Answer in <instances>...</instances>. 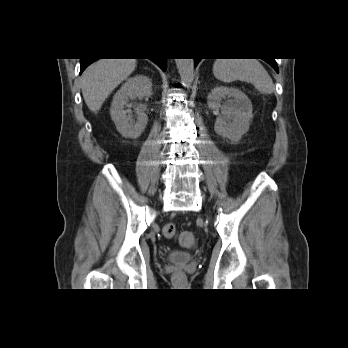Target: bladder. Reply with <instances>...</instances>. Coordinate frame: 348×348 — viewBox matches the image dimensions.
<instances>
[{"mask_svg": "<svg viewBox=\"0 0 348 348\" xmlns=\"http://www.w3.org/2000/svg\"><path fill=\"white\" fill-rule=\"evenodd\" d=\"M194 255L190 252L174 250L168 255V260L172 262H188L192 260Z\"/></svg>", "mask_w": 348, "mask_h": 348, "instance_id": "obj_1", "label": "bladder"}]
</instances>
